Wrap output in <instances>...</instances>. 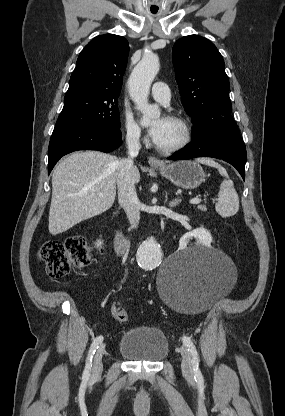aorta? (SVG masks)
I'll return each instance as SVG.
<instances>
[{"mask_svg":"<svg viewBox=\"0 0 285 416\" xmlns=\"http://www.w3.org/2000/svg\"><path fill=\"white\" fill-rule=\"evenodd\" d=\"M159 71V60L147 55L134 67L129 79V94L136 108L142 113L141 123L149 124L160 116L156 105L148 103L151 84ZM137 262L143 269H154L161 263L160 245L154 237L145 240L137 251Z\"/></svg>","mask_w":285,"mask_h":416,"instance_id":"obj_1","label":"aorta"}]
</instances>
